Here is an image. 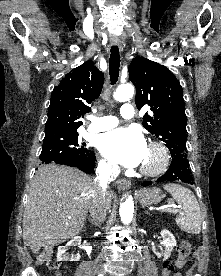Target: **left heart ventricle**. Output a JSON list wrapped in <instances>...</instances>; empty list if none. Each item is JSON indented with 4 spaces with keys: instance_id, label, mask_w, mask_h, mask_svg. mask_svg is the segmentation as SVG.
I'll list each match as a JSON object with an SVG mask.
<instances>
[{
    "instance_id": "obj_1",
    "label": "left heart ventricle",
    "mask_w": 221,
    "mask_h": 276,
    "mask_svg": "<svg viewBox=\"0 0 221 276\" xmlns=\"http://www.w3.org/2000/svg\"><path fill=\"white\" fill-rule=\"evenodd\" d=\"M155 161H156V155L147 149V153L143 161V164L152 165L155 163Z\"/></svg>"
}]
</instances>
